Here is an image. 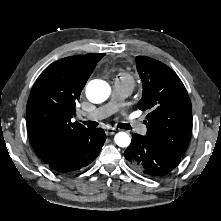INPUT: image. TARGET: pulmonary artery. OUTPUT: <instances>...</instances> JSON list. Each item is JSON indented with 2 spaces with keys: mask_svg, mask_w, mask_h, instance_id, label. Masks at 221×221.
I'll return each instance as SVG.
<instances>
[{
  "mask_svg": "<svg viewBox=\"0 0 221 221\" xmlns=\"http://www.w3.org/2000/svg\"><path fill=\"white\" fill-rule=\"evenodd\" d=\"M133 91V84L127 82L114 81L112 90V100L91 112L84 115L87 120L98 121L115 113L121 108L123 99L129 96ZM127 123L137 132L144 130V125L139 119L126 117Z\"/></svg>",
  "mask_w": 221,
  "mask_h": 221,
  "instance_id": "obj_1",
  "label": "pulmonary artery"
}]
</instances>
